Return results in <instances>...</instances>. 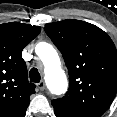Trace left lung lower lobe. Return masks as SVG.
<instances>
[{
    "label": "left lung lower lobe",
    "mask_w": 117,
    "mask_h": 117,
    "mask_svg": "<svg viewBox=\"0 0 117 117\" xmlns=\"http://www.w3.org/2000/svg\"><path fill=\"white\" fill-rule=\"evenodd\" d=\"M54 112H55L57 117H74V116H72L68 113L61 112V111H59L58 109H55V108H54Z\"/></svg>",
    "instance_id": "left-lung-lower-lobe-1"
}]
</instances>
